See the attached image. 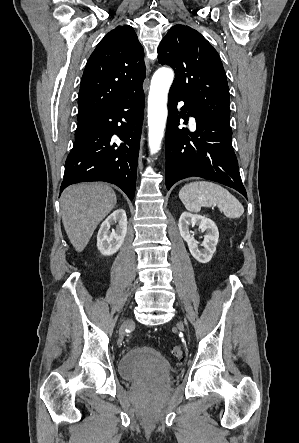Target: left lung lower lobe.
Here are the masks:
<instances>
[{
    "label": "left lung lower lobe",
    "mask_w": 299,
    "mask_h": 443,
    "mask_svg": "<svg viewBox=\"0 0 299 443\" xmlns=\"http://www.w3.org/2000/svg\"><path fill=\"white\" fill-rule=\"evenodd\" d=\"M184 101L181 112L177 103ZM196 119V131L179 129L180 118ZM232 130L226 123L196 109L176 93L169 92L166 130V187L186 177L198 176L227 185L247 198L232 148Z\"/></svg>",
    "instance_id": "0a47b994"
}]
</instances>
